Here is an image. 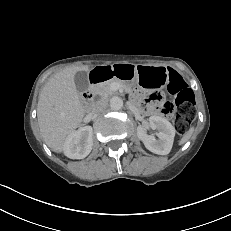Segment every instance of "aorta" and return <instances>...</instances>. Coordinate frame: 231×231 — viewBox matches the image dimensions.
I'll return each instance as SVG.
<instances>
[{
	"instance_id": "762f6f07",
	"label": "aorta",
	"mask_w": 231,
	"mask_h": 231,
	"mask_svg": "<svg viewBox=\"0 0 231 231\" xmlns=\"http://www.w3.org/2000/svg\"><path fill=\"white\" fill-rule=\"evenodd\" d=\"M110 107L112 110L118 111L123 107V100L118 96H114L110 99Z\"/></svg>"
}]
</instances>
